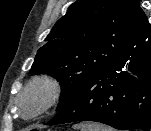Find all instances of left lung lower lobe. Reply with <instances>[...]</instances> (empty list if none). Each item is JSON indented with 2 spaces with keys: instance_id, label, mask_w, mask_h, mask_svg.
I'll use <instances>...</instances> for the list:
<instances>
[{
  "instance_id": "0a47b994",
  "label": "left lung lower lobe",
  "mask_w": 151,
  "mask_h": 131,
  "mask_svg": "<svg viewBox=\"0 0 151 131\" xmlns=\"http://www.w3.org/2000/svg\"><path fill=\"white\" fill-rule=\"evenodd\" d=\"M151 24L140 11L129 53L86 79L47 125L96 121L119 130L151 127Z\"/></svg>"
}]
</instances>
